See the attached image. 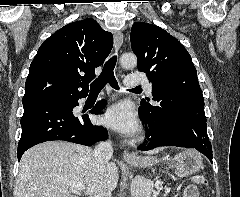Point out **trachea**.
I'll return each instance as SVG.
<instances>
[{
  "label": "trachea",
  "mask_w": 240,
  "mask_h": 197,
  "mask_svg": "<svg viewBox=\"0 0 240 197\" xmlns=\"http://www.w3.org/2000/svg\"><path fill=\"white\" fill-rule=\"evenodd\" d=\"M116 60L117 57L113 56L105 63L102 73L90 85V94H98L107 83H109L112 88L119 90L117 80L114 76Z\"/></svg>",
  "instance_id": "3493384b"
}]
</instances>
